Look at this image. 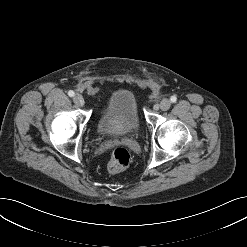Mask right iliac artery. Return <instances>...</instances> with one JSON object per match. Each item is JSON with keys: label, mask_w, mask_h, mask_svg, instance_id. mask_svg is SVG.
Masks as SVG:
<instances>
[{"label": "right iliac artery", "mask_w": 247, "mask_h": 247, "mask_svg": "<svg viewBox=\"0 0 247 247\" xmlns=\"http://www.w3.org/2000/svg\"><path fill=\"white\" fill-rule=\"evenodd\" d=\"M68 95H69L70 97H73V96L75 95V93H74L72 90H70V91L68 92Z\"/></svg>", "instance_id": "1"}]
</instances>
